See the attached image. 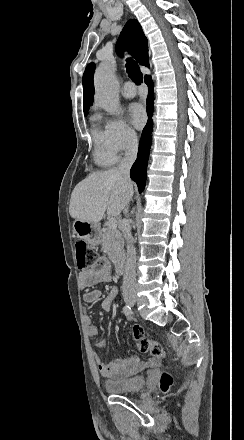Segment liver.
Returning a JSON list of instances; mask_svg holds the SVG:
<instances>
[{"instance_id":"6515ba94","label":"liver","mask_w":244,"mask_h":440,"mask_svg":"<svg viewBox=\"0 0 244 440\" xmlns=\"http://www.w3.org/2000/svg\"><path fill=\"white\" fill-rule=\"evenodd\" d=\"M132 196V182L126 188L117 168L92 172L75 186L70 198L69 214L75 220L98 224L105 212L108 216H120Z\"/></svg>"}]
</instances>
